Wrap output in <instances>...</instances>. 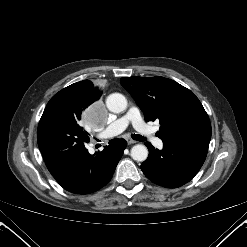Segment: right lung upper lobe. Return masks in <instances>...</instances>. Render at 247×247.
<instances>
[{
  "instance_id": "right-lung-upper-lobe-1",
  "label": "right lung upper lobe",
  "mask_w": 247,
  "mask_h": 247,
  "mask_svg": "<svg viewBox=\"0 0 247 247\" xmlns=\"http://www.w3.org/2000/svg\"><path fill=\"white\" fill-rule=\"evenodd\" d=\"M66 88L74 90L76 93L91 99H99L102 93L99 88L95 87L89 80L74 83Z\"/></svg>"
}]
</instances>
